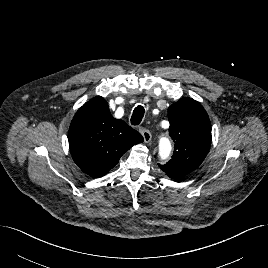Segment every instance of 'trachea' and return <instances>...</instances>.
<instances>
[{"mask_svg":"<svg viewBox=\"0 0 268 268\" xmlns=\"http://www.w3.org/2000/svg\"><path fill=\"white\" fill-rule=\"evenodd\" d=\"M144 113H145L144 107L141 105H138L133 111V114L131 117V124L134 126L139 125L140 122L142 121Z\"/></svg>","mask_w":268,"mask_h":268,"instance_id":"obj_1","label":"trachea"}]
</instances>
